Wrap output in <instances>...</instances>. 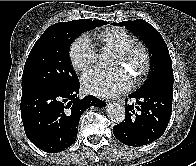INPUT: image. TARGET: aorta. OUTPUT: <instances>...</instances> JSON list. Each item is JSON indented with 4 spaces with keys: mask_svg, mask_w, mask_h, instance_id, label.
Here are the masks:
<instances>
[{
    "mask_svg": "<svg viewBox=\"0 0 196 166\" xmlns=\"http://www.w3.org/2000/svg\"><path fill=\"white\" fill-rule=\"evenodd\" d=\"M114 63L112 55L107 52L99 56V64L103 67H110ZM107 115L115 123H121L125 119V108L118 103H110L107 105Z\"/></svg>",
    "mask_w": 196,
    "mask_h": 166,
    "instance_id": "1",
    "label": "aorta"
}]
</instances>
